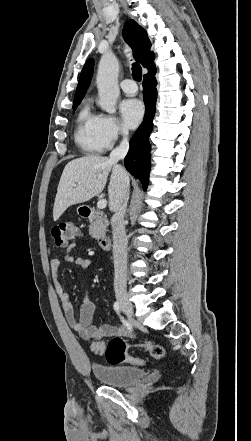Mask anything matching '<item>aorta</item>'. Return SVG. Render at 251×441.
Returning a JSON list of instances; mask_svg holds the SVG:
<instances>
[{
    "mask_svg": "<svg viewBox=\"0 0 251 441\" xmlns=\"http://www.w3.org/2000/svg\"><path fill=\"white\" fill-rule=\"evenodd\" d=\"M119 62L112 53L104 54L98 65L97 88L99 106L102 110L114 114L116 102L120 94L118 86Z\"/></svg>",
    "mask_w": 251,
    "mask_h": 441,
    "instance_id": "1",
    "label": "aorta"
}]
</instances>
